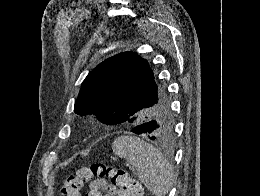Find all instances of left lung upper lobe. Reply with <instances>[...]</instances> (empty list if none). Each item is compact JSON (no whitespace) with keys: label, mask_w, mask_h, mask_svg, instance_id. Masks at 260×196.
<instances>
[{"label":"left lung upper lobe","mask_w":260,"mask_h":196,"mask_svg":"<svg viewBox=\"0 0 260 196\" xmlns=\"http://www.w3.org/2000/svg\"><path fill=\"white\" fill-rule=\"evenodd\" d=\"M118 106L134 108L125 123L129 127L152 121V140L164 144L175 141V121L166 88L147 60L134 52L117 54L96 66L82 83L74 112L99 117L104 110Z\"/></svg>","instance_id":"obj_1"}]
</instances>
